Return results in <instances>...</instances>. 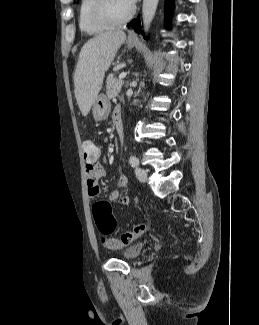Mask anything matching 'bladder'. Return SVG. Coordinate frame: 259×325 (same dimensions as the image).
I'll return each instance as SVG.
<instances>
[{
	"label": "bladder",
	"mask_w": 259,
	"mask_h": 325,
	"mask_svg": "<svg viewBox=\"0 0 259 325\" xmlns=\"http://www.w3.org/2000/svg\"><path fill=\"white\" fill-rule=\"evenodd\" d=\"M144 246L143 242L134 243L122 251V257L127 260L135 259L141 254Z\"/></svg>",
	"instance_id": "31cf9c89"
}]
</instances>
